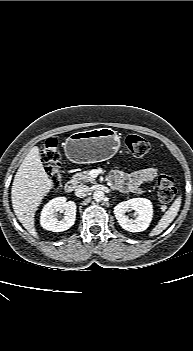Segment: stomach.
<instances>
[{
  "instance_id": "obj_1",
  "label": "stomach",
  "mask_w": 193,
  "mask_h": 351,
  "mask_svg": "<svg viewBox=\"0 0 193 351\" xmlns=\"http://www.w3.org/2000/svg\"><path fill=\"white\" fill-rule=\"evenodd\" d=\"M120 147V137L111 128L76 132L65 141L67 158L77 164H90L113 157Z\"/></svg>"
}]
</instances>
